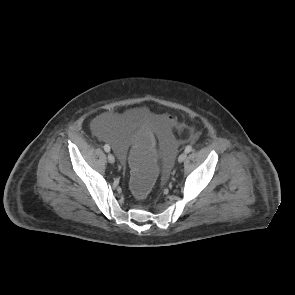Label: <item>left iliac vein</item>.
<instances>
[{
	"mask_svg": "<svg viewBox=\"0 0 295 295\" xmlns=\"http://www.w3.org/2000/svg\"><path fill=\"white\" fill-rule=\"evenodd\" d=\"M186 157H187L186 153L180 154L178 157V162H180V163L183 162L186 159Z\"/></svg>",
	"mask_w": 295,
	"mask_h": 295,
	"instance_id": "1",
	"label": "left iliac vein"
}]
</instances>
